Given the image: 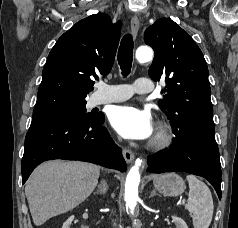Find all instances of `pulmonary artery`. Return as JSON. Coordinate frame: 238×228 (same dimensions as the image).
<instances>
[{"label":"pulmonary artery","mask_w":238,"mask_h":228,"mask_svg":"<svg viewBox=\"0 0 238 228\" xmlns=\"http://www.w3.org/2000/svg\"><path fill=\"white\" fill-rule=\"evenodd\" d=\"M152 91V82L148 78H138L133 85H108L101 83L95 96V103L104 104L129 99L134 93L147 94Z\"/></svg>","instance_id":"1"}]
</instances>
